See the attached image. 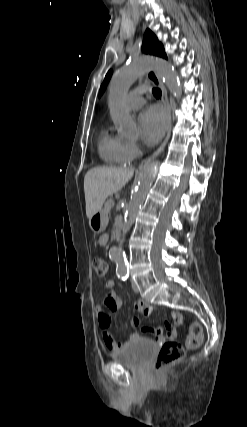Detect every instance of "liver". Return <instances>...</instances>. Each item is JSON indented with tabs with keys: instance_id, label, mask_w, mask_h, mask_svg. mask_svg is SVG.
<instances>
[{
	"instance_id": "liver-1",
	"label": "liver",
	"mask_w": 247,
	"mask_h": 427,
	"mask_svg": "<svg viewBox=\"0 0 247 427\" xmlns=\"http://www.w3.org/2000/svg\"><path fill=\"white\" fill-rule=\"evenodd\" d=\"M134 170L123 167H95L84 177L86 215L90 219L102 209L105 199L118 192L132 178Z\"/></svg>"
}]
</instances>
